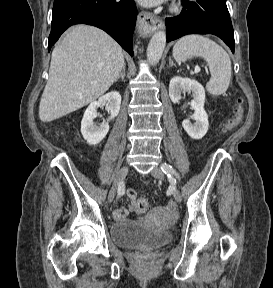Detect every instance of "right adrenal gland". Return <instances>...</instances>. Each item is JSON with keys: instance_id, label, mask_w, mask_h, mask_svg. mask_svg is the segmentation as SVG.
Listing matches in <instances>:
<instances>
[{"instance_id": "2a0ac1e0", "label": "right adrenal gland", "mask_w": 273, "mask_h": 288, "mask_svg": "<svg viewBox=\"0 0 273 288\" xmlns=\"http://www.w3.org/2000/svg\"><path fill=\"white\" fill-rule=\"evenodd\" d=\"M125 75H126V69H125V65H124L123 68H122L121 73L119 74V76L117 77V79L115 80V82H117L120 78H121L122 80H124Z\"/></svg>"}]
</instances>
